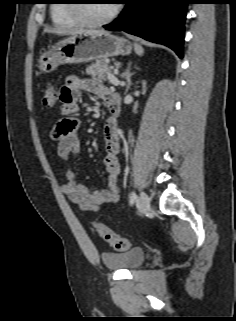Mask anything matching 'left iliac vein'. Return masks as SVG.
Here are the masks:
<instances>
[{"instance_id":"obj_1","label":"left iliac vein","mask_w":236,"mask_h":321,"mask_svg":"<svg viewBox=\"0 0 236 321\" xmlns=\"http://www.w3.org/2000/svg\"><path fill=\"white\" fill-rule=\"evenodd\" d=\"M150 208V199L145 192L140 193L139 197V213H144Z\"/></svg>"}]
</instances>
